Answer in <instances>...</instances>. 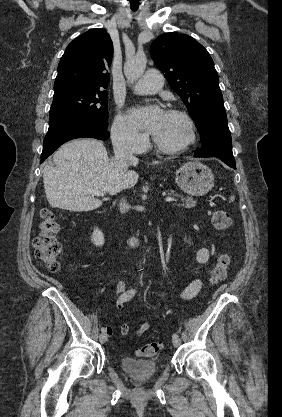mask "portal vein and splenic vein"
Listing matches in <instances>:
<instances>
[{
    "instance_id": "18ae733b",
    "label": "portal vein and splenic vein",
    "mask_w": 282,
    "mask_h": 417,
    "mask_svg": "<svg viewBox=\"0 0 282 417\" xmlns=\"http://www.w3.org/2000/svg\"><path fill=\"white\" fill-rule=\"evenodd\" d=\"M93 194H96V196H104L105 192L103 190H93ZM165 200H168L169 203L175 202V198H171V196H167Z\"/></svg>"
}]
</instances>
